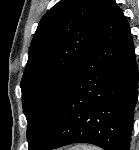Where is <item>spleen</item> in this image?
Instances as JSON below:
<instances>
[{
	"instance_id": "1",
	"label": "spleen",
	"mask_w": 139,
	"mask_h": 150,
	"mask_svg": "<svg viewBox=\"0 0 139 150\" xmlns=\"http://www.w3.org/2000/svg\"><path fill=\"white\" fill-rule=\"evenodd\" d=\"M72 150H100L97 147H92V146H77L73 148Z\"/></svg>"
}]
</instances>
